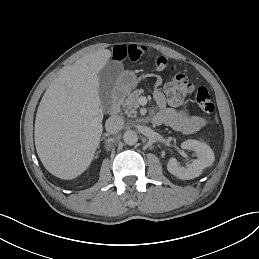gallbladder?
<instances>
[{
	"mask_svg": "<svg viewBox=\"0 0 259 259\" xmlns=\"http://www.w3.org/2000/svg\"><path fill=\"white\" fill-rule=\"evenodd\" d=\"M122 63L109 61L98 73L100 77L99 98L102 111L108 113L112 109L113 89L116 85L118 74L122 71Z\"/></svg>",
	"mask_w": 259,
	"mask_h": 259,
	"instance_id": "bac80fb5",
	"label": "gallbladder"
}]
</instances>
